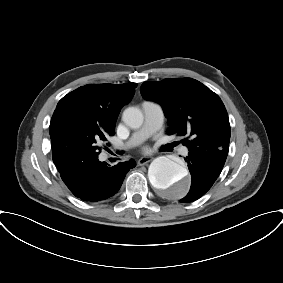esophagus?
Wrapping results in <instances>:
<instances>
[{"label":"esophagus","instance_id":"obj_1","mask_svg":"<svg viewBox=\"0 0 283 283\" xmlns=\"http://www.w3.org/2000/svg\"><path fill=\"white\" fill-rule=\"evenodd\" d=\"M151 161V158L150 157H141L139 160H138V165L139 166H143V165H146L147 163H149Z\"/></svg>","mask_w":283,"mask_h":283}]
</instances>
